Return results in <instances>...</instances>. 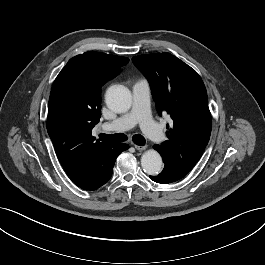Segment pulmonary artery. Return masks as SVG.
Here are the masks:
<instances>
[{
    "mask_svg": "<svg viewBox=\"0 0 265 265\" xmlns=\"http://www.w3.org/2000/svg\"><path fill=\"white\" fill-rule=\"evenodd\" d=\"M133 103L131 110L112 122L103 123L106 131L122 132L139 124L142 131L152 140L161 142L164 133L150 115V86L146 79L136 81L132 86Z\"/></svg>",
    "mask_w": 265,
    "mask_h": 265,
    "instance_id": "e3ab8cb5",
    "label": "pulmonary artery"
}]
</instances>
